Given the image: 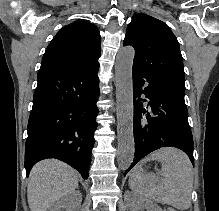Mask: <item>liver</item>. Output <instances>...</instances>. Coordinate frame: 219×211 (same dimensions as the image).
I'll return each mask as SVG.
<instances>
[{
	"label": "liver",
	"instance_id": "1",
	"mask_svg": "<svg viewBox=\"0 0 219 211\" xmlns=\"http://www.w3.org/2000/svg\"><path fill=\"white\" fill-rule=\"evenodd\" d=\"M79 173L60 159H42L33 165L27 197L31 211H48L62 195L72 193L78 187Z\"/></svg>",
	"mask_w": 219,
	"mask_h": 211
}]
</instances>
